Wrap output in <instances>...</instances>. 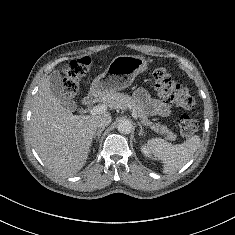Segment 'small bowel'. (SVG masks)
Returning <instances> with one entry per match:
<instances>
[{"label":"small bowel","instance_id":"1","mask_svg":"<svg viewBox=\"0 0 235 235\" xmlns=\"http://www.w3.org/2000/svg\"><path fill=\"white\" fill-rule=\"evenodd\" d=\"M134 98L142 109L151 115L167 117L170 114V109L164 102L152 98L143 88H138L134 92Z\"/></svg>","mask_w":235,"mask_h":235}]
</instances>
